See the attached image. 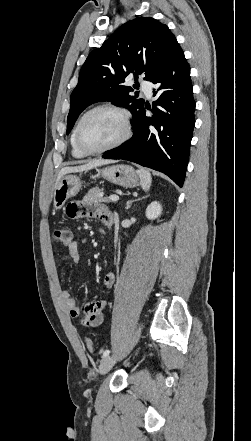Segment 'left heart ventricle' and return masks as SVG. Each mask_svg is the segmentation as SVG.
Returning a JSON list of instances; mask_svg holds the SVG:
<instances>
[{
	"label": "left heart ventricle",
	"mask_w": 251,
	"mask_h": 441,
	"mask_svg": "<svg viewBox=\"0 0 251 441\" xmlns=\"http://www.w3.org/2000/svg\"><path fill=\"white\" fill-rule=\"evenodd\" d=\"M122 133L123 123L118 113L111 110H98L84 120L80 138L84 147L96 150L113 143Z\"/></svg>",
	"instance_id": "1"
}]
</instances>
